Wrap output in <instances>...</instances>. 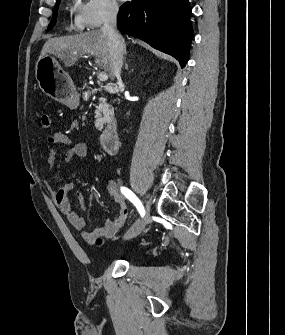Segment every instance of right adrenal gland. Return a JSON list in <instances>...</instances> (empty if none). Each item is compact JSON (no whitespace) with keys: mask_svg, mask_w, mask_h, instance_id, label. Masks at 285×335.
Listing matches in <instances>:
<instances>
[{"mask_svg":"<svg viewBox=\"0 0 285 335\" xmlns=\"http://www.w3.org/2000/svg\"><path fill=\"white\" fill-rule=\"evenodd\" d=\"M125 66H126V70H128V64H125Z\"/></svg>","mask_w":285,"mask_h":335,"instance_id":"1","label":"right adrenal gland"}]
</instances>
